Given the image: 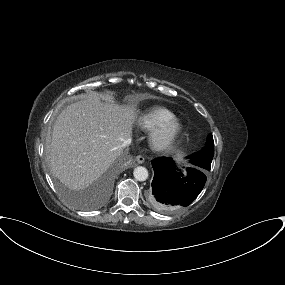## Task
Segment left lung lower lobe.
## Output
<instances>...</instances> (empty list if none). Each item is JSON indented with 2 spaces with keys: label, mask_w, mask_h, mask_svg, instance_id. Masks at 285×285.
Returning <instances> with one entry per match:
<instances>
[{
  "label": "left lung lower lobe",
  "mask_w": 285,
  "mask_h": 285,
  "mask_svg": "<svg viewBox=\"0 0 285 285\" xmlns=\"http://www.w3.org/2000/svg\"><path fill=\"white\" fill-rule=\"evenodd\" d=\"M193 165L182 172L172 158L152 161L154 178L149 202L153 208L161 213H172L194 201L205 185L207 170Z\"/></svg>",
  "instance_id": "0a47b994"
}]
</instances>
